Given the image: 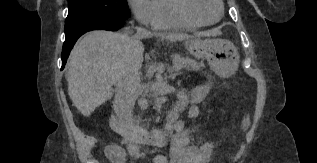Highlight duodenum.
I'll use <instances>...</instances> for the list:
<instances>
[{
  "mask_svg": "<svg viewBox=\"0 0 317 163\" xmlns=\"http://www.w3.org/2000/svg\"><path fill=\"white\" fill-rule=\"evenodd\" d=\"M176 117V114L170 113L167 116L164 126L153 131H148L142 127L131 124L119 114L112 115L110 124L114 131L121 134L126 139L128 146L138 144L160 146L171 137ZM108 148L112 156H120L123 151V148L116 144L109 145Z\"/></svg>",
  "mask_w": 317,
  "mask_h": 163,
  "instance_id": "1",
  "label": "duodenum"
}]
</instances>
